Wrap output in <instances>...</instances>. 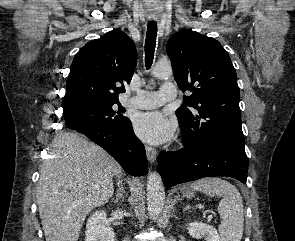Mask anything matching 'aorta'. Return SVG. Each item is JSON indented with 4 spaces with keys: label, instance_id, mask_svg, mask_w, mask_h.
<instances>
[{
    "label": "aorta",
    "instance_id": "762f6f07",
    "mask_svg": "<svg viewBox=\"0 0 295 241\" xmlns=\"http://www.w3.org/2000/svg\"><path fill=\"white\" fill-rule=\"evenodd\" d=\"M172 67L168 63H158L152 69L156 78L164 79L172 75ZM165 192L160 175L150 172L147 179V209L150 216L159 214L164 206Z\"/></svg>",
    "mask_w": 295,
    "mask_h": 241
}]
</instances>
